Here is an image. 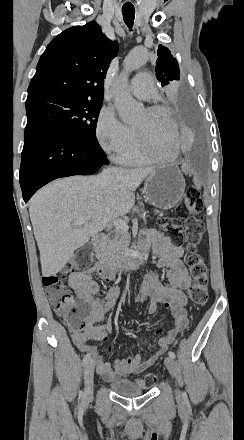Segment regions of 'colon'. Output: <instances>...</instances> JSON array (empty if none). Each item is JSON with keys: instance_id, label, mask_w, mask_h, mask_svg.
Listing matches in <instances>:
<instances>
[{"instance_id": "obj_1", "label": "colon", "mask_w": 244, "mask_h": 440, "mask_svg": "<svg viewBox=\"0 0 244 440\" xmlns=\"http://www.w3.org/2000/svg\"><path fill=\"white\" fill-rule=\"evenodd\" d=\"M203 203L199 198L198 190L190 188L187 199L176 210V216H161L160 230H168L173 242L180 246L185 241L187 256L186 266L193 279V284L188 290L190 300L199 306L204 305L208 299V270L203 258L198 254V245L204 233L201 212ZM184 225L185 236L178 229ZM75 257L57 273L47 274L42 277V284L50 297L53 310L65 318L70 327L77 333L85 331L88 324L87 314L92 313L91 305H82L76 301L74 294L65 287L64 276L77 271L80 267H88L92 255L91 248H76ZM146 340L141 339L145 347ZM158 380L157 373H144L137 382L145 387L153 386Z\"/></svg>"}]
</instances>
